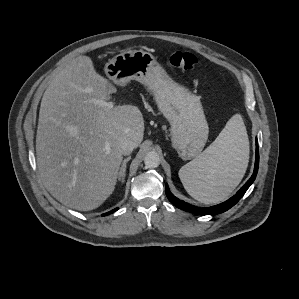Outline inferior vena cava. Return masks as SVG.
Instances as JSON below:
<instances>
[{
  "mask_svg": "<svg viewBox=\"0 0 299 299\" xmlns=\"http://www.w3.org/2000/svg\"><path fill=\"white\" fill-rule=\"evenodd\" d=\"M137 147V144L131 140H123L120 144H119V152L122 155H129L132 153V151L134 150V148Z\"/></svg>",
  "mask_w": 299,
  "mask_h": 299,
  "instance_id": "inferior-vena-cava-1",
  "label": "inferior vena cava"
}]
</instances>
